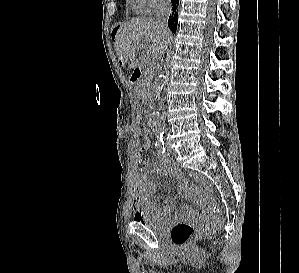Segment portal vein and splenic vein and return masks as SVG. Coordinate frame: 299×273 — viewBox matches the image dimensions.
Listing matches in <instances>:
<instances>
[{"label": "portal vein and splenic vein", "instance_id": "18ae733b", "mask_svg": "<svg viewBox=\"0 0 299 273\" xmlns=\"http://www.w3.org/2000/svg\"><path fill=\"white\" fill-rule=\"evenodd\" d=\"M144 46H142L143 48ZM146 61H148L149 63L152 61V58L151 57H146Z\"/></svg>", "mask_w": 299, "mask_h": 273}]
</instances>
